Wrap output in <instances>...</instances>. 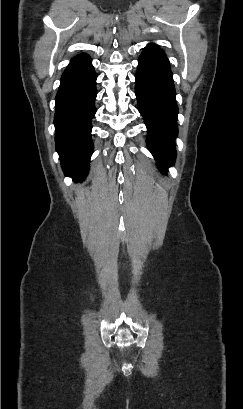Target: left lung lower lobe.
<instances>
[{
	"mask_svg": "<svg viewBox=\"0 0 243 409\" xmlns=\"http://www.w3.org/2000/svg\"><path fill=\"white\" fill-rule=\"evenodd\" d=\"M138 110L147 126V145L165 173L176 157L178 107L172 72L166 54L155 44L141 53L135 75Z\"/></svg>",
	"mask_w": 243,
	"mask_h": 409,
	"instance_id": "0a47b994",
	"label": "left lung lower lobe"
}]
</instances>
